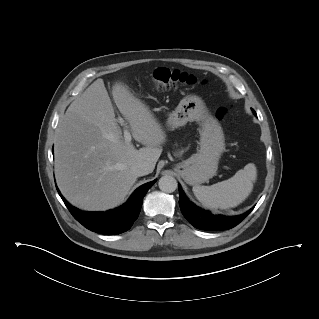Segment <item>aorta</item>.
Masks as SVG:
<instances>
[{
	"instance_id": "1",
	"label": "aorta",
	"mask_w": 319,
	"mask_h": 319,
	"mask_svg": "<svg viewBox=\"0 0 319 319\" xmlns=\"http://www.w3.org/2000/svg\"><path fill=\"white\" fill-rule=\"evenodd\" d=\"M160 190L166 193H172L177 189V181L173 176L165 175L158 182Z\"/></svg>"
}]
</instances>
